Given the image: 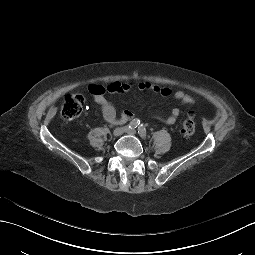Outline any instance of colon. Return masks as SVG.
<instances>
[{
  "instance_id": "1",
  "label": "colon",
  "mask_w": 255,
  "mask_h": 255,
  "mask_svg": "<svg viewBox=\"0 0 255 255\" xmlns=\"http://www.w3.org/2000/svg\"><path fill=\"white\" fill-rule=\"evenodd\" d=\"M85 104V97L78 94L67 95L61 106L62 115L67 119L78 117ZM196 123L192 115H188L183 123L181 132L184 137H190L195 133Z\"/></svg>"
}]
</instances>
